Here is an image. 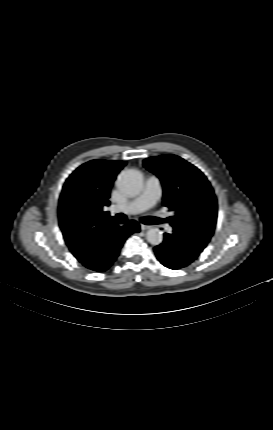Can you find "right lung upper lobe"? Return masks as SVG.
Listing matches in <instances>:
<instances>
[{
  "mask_svg": "<svg viewBox=\"0 0 273 430\" xmlns=\"http://www.w3.org/2000/svg\"><path fill=\"white\" fill-rule=\"evenodd\" d=\"M126 165L118 160H92L66 180L59 199V225L65 241L78 259L89 252L90 241L101 229L116 225L103 211L110 204V189Z\"/></svg>",
  "mask_w": 273,
  "mask_h": 430,
  "instance_id": "cb5924a9",
  "label": "right lung upper lobe"
}]
</instances>
